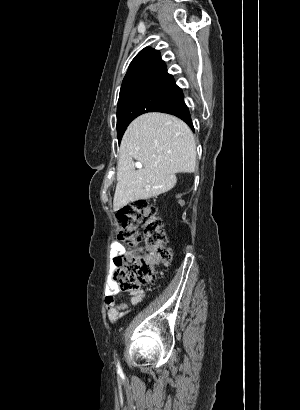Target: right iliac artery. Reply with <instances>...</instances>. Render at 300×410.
Here are the masks:
<instances>
[{
	"instance_id": "1",
	"label": "right iliac artery",
	"mask_w": 300,
	"mask_h": 410,
	"mask_svg": "<svg viewBox=\"0 0 300 410\" xmlns=\"http://www.w3.org/2000/svg\"><path fill=\"white\" fill-rule=\"evenodd\" d=\"M117 366H118V369H120V365H119V363H118V365H117Z\"/></svg>"
}]
</instances>
